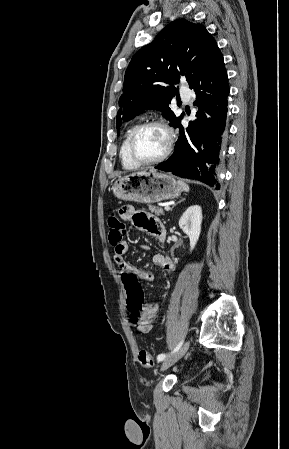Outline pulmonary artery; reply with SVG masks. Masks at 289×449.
Instances as JSON below:
<instances>
[{"label":"pulmonary artery","instance_id":"1","mask_svg":"<svg viewBox=\"0 0 289 449\" xmlns=\"http://www.w3.org/2000/svg\"><path fill=\"white\" fill-rule=\"evenodd\" d=\"M191 91L190 90H183L182 91V96H183V98L186 100V101H190V99H191Z\"/></svg>","mask_w":289,"mask_h":449}]
</instances>
